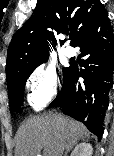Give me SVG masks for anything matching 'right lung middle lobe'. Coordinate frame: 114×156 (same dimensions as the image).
<instances>
[{
	"instance_id": "obj_1",
	"label": "right lung middle lobe",
	"mask_w": 114,
	"mask_h": 156,
	"mask_svg": "<svg viewBox=\"0 0 114 156\" xmlns=\"http://www.w3.org/2000/svg\"><path fill=\"white\" fill-rule=\"evenodd\" d=\"M69 68L70 67L63 69L64 80L68 74ZM34 69L28 70L24 73L15 76L11 81V83L8 85L9 106L11 110L18 111L20 113L22 112L21 106L23 104L25 81L28 79V77L30 76V74L33 72Z\"/></svg>"
}]
</instances>
